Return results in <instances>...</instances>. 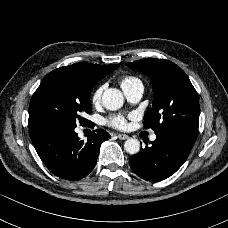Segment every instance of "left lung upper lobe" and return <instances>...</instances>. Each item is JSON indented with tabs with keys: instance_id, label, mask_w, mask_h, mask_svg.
Returning <instances> with one entry per match:
<instances>
[{
	"instance_id": "obj_1",
	"label": "left lung upper lobe",
	"mask_w": 228,
	"mask_h": 228,
	"mask_svg": "<svg viewBox=\"0 0 228 228\" xmlns=\"http://www.w3.org/2000/svg\"><path fill=\"white\" fill-rule=\"evenodd\" d=\"M146 74L153 84L152 108L144 115V128L155 134H177L196 140L199 98L186 73L171 61L147 58L128 63Z\"/></svg>"
}]
</instances>
